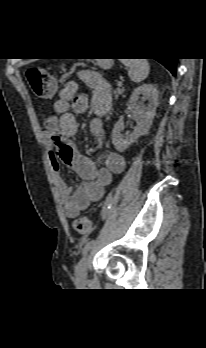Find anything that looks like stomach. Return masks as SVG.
<instances>
[{"mask_svg": "<svg viewBox=\"0 0 206 348\" xmlns=\"http://www.w3.org/2000/svg\"><path fill=\"white\" fill-rule=\"evenodd\" d=\"M97 64L103 68H110L113 65L112 59H98Z\"/></svg>", "mask_w": 206, "mask_h": 348, "instance_id": "stomach-1", "label": "stomach"}]
</instances>
